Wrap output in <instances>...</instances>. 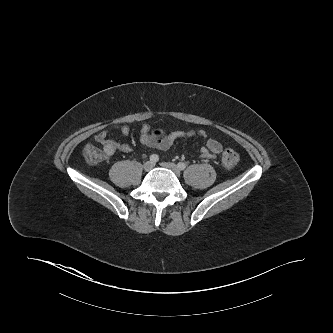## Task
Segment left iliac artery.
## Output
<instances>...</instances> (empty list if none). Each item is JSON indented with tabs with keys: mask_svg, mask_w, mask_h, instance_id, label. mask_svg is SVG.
<instances>
[{
	"mask_svg": "<svg viewBox=\"0 0 333 333\" xmlns=\"http://www.w3.org/2000/svg\"><path fill=\"white\" fill-rule=\"evenodd\" d=\"M177 166L180 170H184L186 168V164L183 162H179Z\"/></svg>",
	"mask_w": 333,
	"mask_h": 333,
	"instance_id": "1",
	"label": "left iliac artery"
}]
</instances>
